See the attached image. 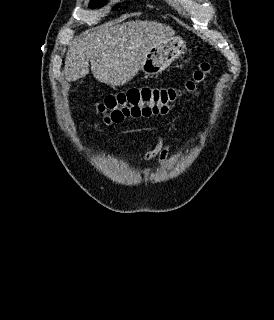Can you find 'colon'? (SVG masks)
Here are the masks:
<instances>
[{
  "instance_id": "colon-1",
  "label": "colon",
  "mask_w": 274,
  "mask_h": 320,
  "mask_svg": "<svg viewBox=\"0 0 274 320\" xmlns=\"http://www.w3.org/2000/svg\"><path fill=\"white\" fill-rule=\"evenodd\" d=\"M211 73V64L202 62L182 86L135 87L109 94L94 108L103 123H118L129 118L167 114L173 106L199 96Z\"/></svg>"
}]
</instances>
